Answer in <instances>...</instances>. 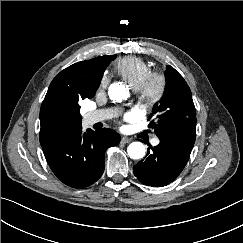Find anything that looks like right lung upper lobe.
Masks as SVG:
<instances>
[{
  "instance_id": "obj_1",
  "label": "right lung upper lobe",
  "mask_w": 243,
  "mask_h": 243,
  "mask_svg": "<svg viewBox=\"0 0 243 243\" xmlns=\"http://www.w3.org/2000/svg\"><path fill=\"white\" fill-rule=\"evenodd\" d=\"M109 58L78 62L56 75L41 105L40 137L81 127L79 102L93 98Z\"/></svg>"
}]
</instances>
